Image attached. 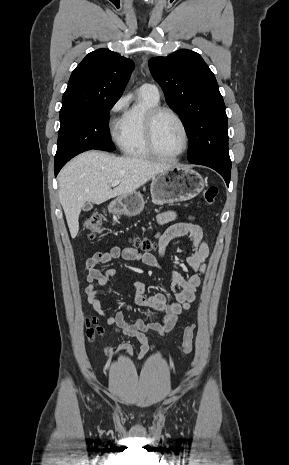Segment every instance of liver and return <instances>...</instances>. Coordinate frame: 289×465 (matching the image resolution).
Returning <instances> with one entry per match:
<instances>
[{
	"label": "liver",
	"mask_w": 289,
	"mask_h": 465,
	"mask_svg": "<svg viewBox=\"0 0 289 465\" xmlns=\"http://www.w3.org/2000/svg\"><path fill=\"white\" fill-rule=\"evenodd\" d=\"M171 165L138 157H116L88 151L68 162L58 175L59 201L72 238L79 231V215L86 202L101 204L136 191ZM119 180L117 187L111 184Z\"/></svg>",
	"instance_id": "liver-1"
}]
</instances>
